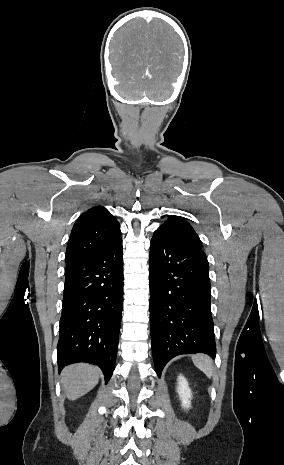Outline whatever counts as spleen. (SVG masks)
<instances>
[{"label": "spleen", "mask_w": 284, "mask_h": 465, "mask_svg": "<svg viewBox=\"0 0 284 465\" xmlns=\"http://www.w3.org/2000/svg\"><path fill=\"white\" fill-rule=\"evenodd\" d=\"M192 361L197 369L203 371L208 379H211L213 373L212 361L207 355H192Z\"/></svg>", "instance_id": "1"}]
</instances>
